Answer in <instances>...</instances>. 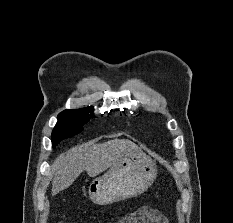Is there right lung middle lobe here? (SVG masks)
Segmentation results:
<instances>
[{
  "label": "right lung middle lobe",
  "mask_w": 233,
  "mask_h": 223,
  "mask_svg": "<svg viewBox=\"0 0 233 223\" xmlns=\"http://www.w3.org/2000/svg\"><path fill=\"white\" fill-rule=\"evenodd\" d=\"M93 107L75 110H64L58 115V122L52 132V145L55 147L61 140L70 138L83 130L82 125L88 120V113Z\"/></svg>",
  "instance_id": "obj_1"
}]
</instances>
